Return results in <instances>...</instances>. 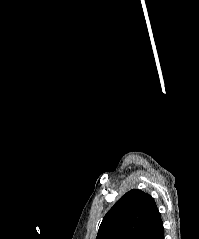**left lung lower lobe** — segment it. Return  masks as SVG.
<instances>
[{
	"mask_svg": "<svg viewBox=\"0 0 199 239\" xmlns=\"http://www.w3.org/2000/svg\"><path fill=\"white\" fill-rule=\"evenodd\" d=\"M152 239H164V228H163V222L159 224L154 236Z\"/></svg>",
	"mask_w": 199,
	"mask_h": 239,
	"instance_id": "0a47b994",
	"label": "left lung lower lobe"
}]
</instances>
